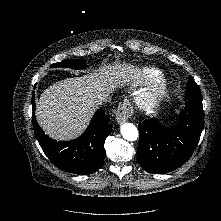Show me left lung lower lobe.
<instances>
[{"label": "left lung lower lobe", "mask_w": 221, "mask_h": 221, "mask_svg": "<svg viewBox=\"0 0 221 221\" xmlns=\"http://www.w3.org/2000/svg\"><path fill=\"white\" fill-rule=\"evenodd\" d=\"M203 125L202 100L186 102L174 127L167 128L156 118L140 123L139 164L150 173H167L177 169L195 150Z\"/></svg>", "instance_id": "1"}]
</instances>
